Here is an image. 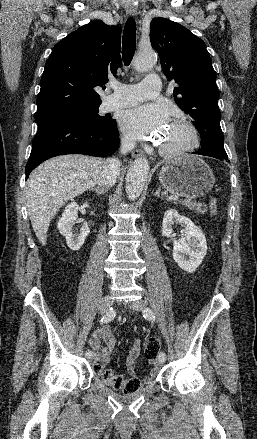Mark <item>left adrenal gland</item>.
<instances>
[{
  "label": "left adrenal gland",
  "instance_id": "a2214340",
  "mask_svg": "<svg viewBox=\"0 0 257 439\" xmlns=\"http://www.w3.org/2000/svg\"><path fill=\"white\" fill-rule=\"evenodd\" d=\"M160 191H161V187H159V188L156 190V192L153 193V195H154V196H158V197L161 196V197L163 198V196L161 195Z\"/></svg>",
  "mask_w": 257,
  "mask_h": 439
}]
</instances>
